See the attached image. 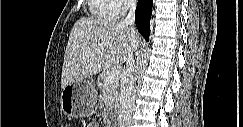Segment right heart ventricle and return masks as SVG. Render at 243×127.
Returning <instances> with one entry per match:
<instances>
[{
    "label": "right heart ventricle",
    "mask_w": 243,
    "mask_h": 127,
    "mask_svg": "<svg viewBox=\"0 0 243 127\" xmlns=\"http://www.w3.org/2000/svg\"><path fill=\"white\" fill-rule=\"evenodd\" d=\"M114 0H91L90 11L99 20H112L115 16Z\"/></svg>",
    "instance_id": "1"
}]
</instances>
